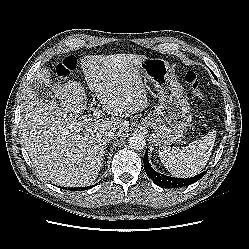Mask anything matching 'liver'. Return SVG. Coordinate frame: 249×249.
Masks as SVG:
<instances>
[{
	"instance_id": "6515ba94",
	"label": "liver",
	"mask_w": 249,
	"mask_h": 249,
	"mask_svg": "<svg viewBox=\"0 0 249 249\" xmlns=\"http://www.w3.org/2000/svg\"><path fill=\"white\" fill-rule=\"evenodd\" d=\"M147 57L136 54L89 55L81 68L89 89L109 117L82 115L87 97L80 83L68 81L53 89L59 105L40 100L30 86L21 109L22 141L34 167L46 180L61 186L91 184L99 175L110 140L105 132L116 129L122 136L129 129L124 118L147 107L140 63ZM49 68L37 71L32 83L47 85Z\"/></svg>"
}]
</instances>
